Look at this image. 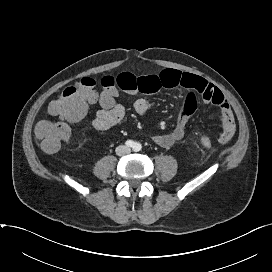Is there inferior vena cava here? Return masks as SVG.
Returning <instances> with one entry per match:
<instances>
[{"label": "inferior vena cava", "mask_w": 272, "mask_h": 272, "mask_svg": "<svg viewBox=\"0 0 272 272\" xmlns=\"http://www.w3.org/2000/svg\"><path fill=\"white\" fill-rule=\"evenodd\" d=\"M131 152V149L127 146H119L117 149H116V153L117 155L119 156H122V155H126V154H129Z\"/></svg>", "instance_id": "602c4592"}]
</instances>
